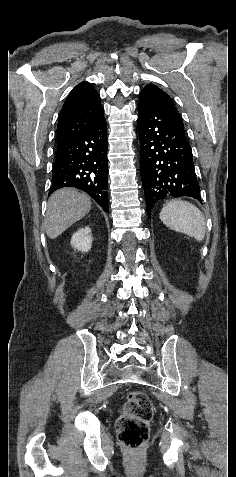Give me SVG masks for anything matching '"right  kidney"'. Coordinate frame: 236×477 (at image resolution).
Masks as SVG:
<instances>
[{
    "label": "right kidney",
    "mask_w": 236,
    "mask_h": 477,
    "mask_svg": "<svg viewBox=\"0 0 236 477\" xmlns=\"http://www.w3.org/2000/svg\"><path fill=\"white\" fill-rule=\"evenodd\" d=\"M71 245L78 251L88 252L92 245L91 229L89 227L79 229L72 236Z\"/></svg>",
    "instance_id": "right-kidney-1"
}]
</instances>
